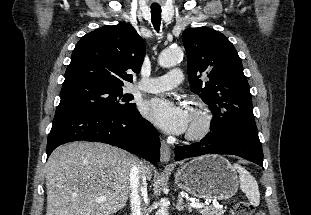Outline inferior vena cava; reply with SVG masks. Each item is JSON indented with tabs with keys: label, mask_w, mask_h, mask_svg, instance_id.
Wrapping results in <instances>:
<instances>
[{
	"label": "inferior vena cava",
	"mask_w": 311,
	"mask_h": 215,
	"mask_svg": "<svg viewBox=\"0 0 311 215\" xmlns=\"http://www.w3.org/2000/svg\"><path fill=\"white\" fill-rule=\"evenodd\" d=\"M130 191L131 215H149L145 203L147 197L146 177L137 164L132 165L130 170Z\"/></svg>",
	"instance_id": "602c4592"
}]
</instances>
